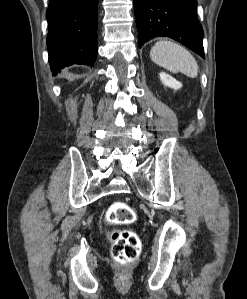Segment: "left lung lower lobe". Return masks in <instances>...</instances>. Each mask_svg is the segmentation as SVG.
Listing matches in <instances>:
<instances>
[{"label": "left lung lower lobe", "instance_id": "obj_1", "mask_svg": "<svg viewBox=\"0 0 247 299\" xmlns=\"http://www.w3.org/2000/svg\"><path fill=\"white\" fill-rule=\"evenodd\" d=\"M134 11L139 47L154 37L163 36L205 57L197 0H134Z\"/></svg>", "mask_w": 247, "mask_h": 299}]
</instances>
